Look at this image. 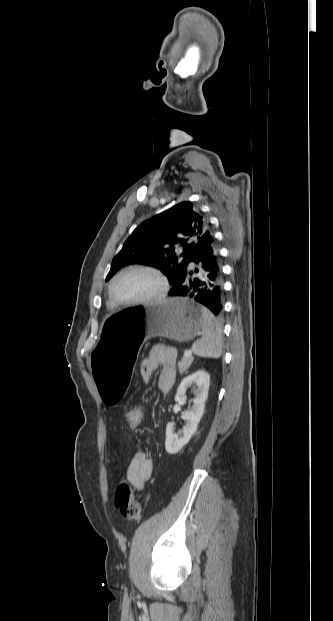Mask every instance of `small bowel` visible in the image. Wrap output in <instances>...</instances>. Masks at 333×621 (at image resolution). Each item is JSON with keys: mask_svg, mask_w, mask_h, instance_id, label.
Returning <instances> with one entry per match:
<instances>
[{"mask_svg": "<svg viewBox=\"0 0 333 621\" xmlns=\"http://www.w3.org/2000/svg\"><path fill=\"white\" fill-rule=\"evenodd\" d=\"M176 358L174 349L155 346L141 365L143 380L148 382L154 371L161 368L158 377V389L162 393L168 392L176 378ZM154 468L152 457L143 451L137 452L127 468V480L137 490H143L145 483L150 479Z\"/></svg>", "mask_w": 333, "mask_h": 621, "instance_id": "obj_1", "label": "small bowel"}]
</instances>
